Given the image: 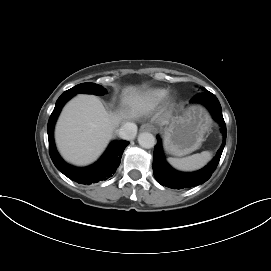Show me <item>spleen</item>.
Returning <instances> with one entry per match:
<instances>
[{
    "label": "spleen",
    "mask_w": 271,
    "mask_h": 271,
    "mask_svg": "<svg viewBox=\"0 0 271 271\" xmlns=\"http://www.w3.org/2000/svg\"><path fill=\"white\" fill-rule=\"evenodd\" d=\"M212 158V153L203 151L185 158H168L167 161L171 166L180 171H195L204 167Z\"/></svg>",
    "instance_id": "1"
}]
</instances>
